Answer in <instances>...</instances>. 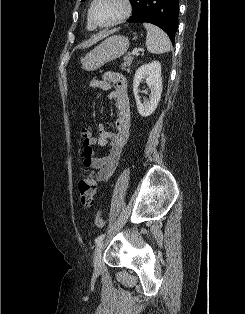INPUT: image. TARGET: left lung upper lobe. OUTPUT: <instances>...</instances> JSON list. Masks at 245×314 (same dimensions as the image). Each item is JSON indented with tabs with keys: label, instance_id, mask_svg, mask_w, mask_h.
I'll use <instances>...</instances> for the list:
<instances>
[{
	"label": "left lung upper lobe",
	"instance_id": "5c2ea615",
	"mask_svg": "<svg viewBox=\"0 0 245 314\" xmlns=\"http://www.w3.org/2000/svg\"><path fill=\"white\" fill-rule=\"evenodd\" d=\"M82 1H85V0H82ZM141 1L142 0H130V3L132 5V8H133V15H135L136 13L139 12L140 10V6H141Z\"/></svg>",
	"mask_w": 245,
	"mask_h": 314
}]
</instances>
